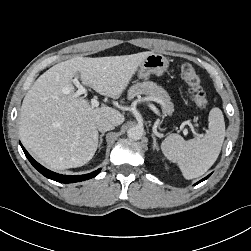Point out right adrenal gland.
Instances as JSON below:
<instances>
[{"mask_svg":"<svg viewBox=\"0 0 251 251\" xmlns=\"http://www.w3.org/2000/svg\"><path fill=\"white\" fill-rule=\"evenodd\" d=\"M104 132H102V134L100 135V138H99V145H98V147H99V149H100V147H101V144H102V142H103V136H104Z\"/></svg>","mask_w":251,"mask_h":251,"instance_id":"2a0ac1e0","label":"right adrenal gland"}]
</instances>
